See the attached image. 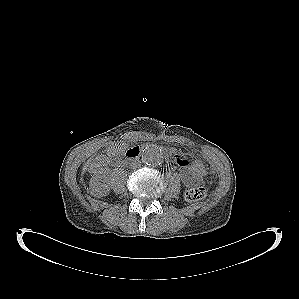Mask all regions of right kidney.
I'll return each instance as SVG.
<instances>
[{"label": "right kidney", "instance_id": "obj_1", "mask_svg": "<svg viewBox=\"0 0 299 299\" xmlns=\"http://www.w3.org/2000/svg\"><path fill=\"white\" fill-rule=\"evenodd\" d=\"M90 189L92 195L96 197H103L109 193L110 187L104 171H99V173L91 179Z\"/></svg>", "mask_w": 299, "mask_h": 299}]
</instances>
